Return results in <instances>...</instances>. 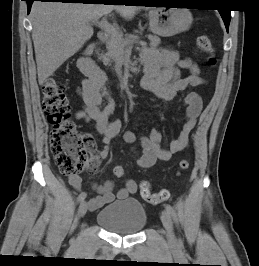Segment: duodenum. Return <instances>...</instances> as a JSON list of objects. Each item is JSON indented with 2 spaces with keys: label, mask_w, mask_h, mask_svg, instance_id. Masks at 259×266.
I'll return each mask as SVG.
<instances>
[{
  "label": "duodenum",
  "mask_w": 259,
  "mask_h": 266,
  "mask_svg": "<svg viewBox=\"0 0 259 266\" xmlns=\"http://www.w3.org/2000/svg\"><path fill=\"white\" fill-rule=\"evenodd\" d=\"M108 40V34L101 31L98 34V41L89 45L81 61V69L88 78H99V71L93 61L94 55L98 52L100 44Z\"/></svg>",
  "instance_id": "duodenum-1"
}]
</instances>
